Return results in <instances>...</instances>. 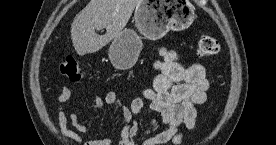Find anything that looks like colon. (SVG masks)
<instances>
[{"label":"colon","instance_id":"5ec220e1","mask_svg":"<svg viewBox=\"0 0 276 145\" xmlns=\"http://www.w3.org/2000/svg\"><path fill=\"white\" fill-rule=\"evenodd\" d=\"M220 49V43L216 38L206 34H201L198 37L197 54L200 57L214 56L219 53ZM59 71L63 77L71 81H79L83 77L76 59L72 56L61 61Z\"/></svg>","mask_w":276,"mask_h":145}]
</instances>
